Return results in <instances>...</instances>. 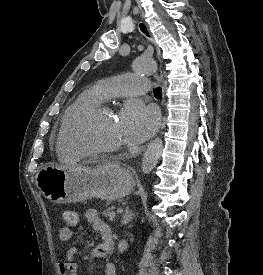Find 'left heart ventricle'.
Instances as JSON below:
<instances>
[{
    "label": "left heart ventricle",
    "instance_id": "left-heart-ventricle-1",
    "mask_svg": "<svg viewBox=\"0 0 263 275\" xmlns=\"http://www.w3.org/2000/svg\"><path fill=\"white\" fill-rule=\"evenodd\" d=\"M78 139L90 147L108 148L124 146L127 142L115 114H105L85 125Z\"/></svg>",
    "mask_w": 263,
    "mask_h": 275
}]
</instances>
